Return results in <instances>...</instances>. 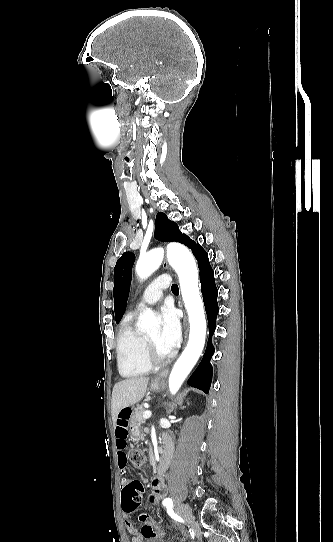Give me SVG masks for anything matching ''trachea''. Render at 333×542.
Wrapping results in <instances>:
<instances>
[{
  "instance_id": "obj_1",
  "label": "trachea",
  "mask_w": 333,
  "mask_h": 542,
  "mask_svg": "<svg viewBox=\"0 0 333 542\" xmlns=\"http://www.w3.org/2000/svg\"><path fill=\"white\" fill-rule=\"evenodd\" d=\"M171 289H172V291H173V290H177V291H178V285L172 284Z\"/></svg>"
}]
</instances>
